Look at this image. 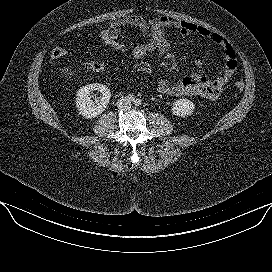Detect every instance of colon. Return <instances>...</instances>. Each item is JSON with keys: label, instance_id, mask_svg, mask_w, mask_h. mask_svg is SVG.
Instances as JSON below:
<instances>
[{"label": "colon", "instance_id": "obj_1", "mask_svg": "<svg viewBox=\"0 0 272 272\" xmlns=\"http://www.w3.org/2000/svg\"><path fill=\"white\" fill-rule=\"evenodd\" d=\"M99 40L106 46L111 47L117 51L130 53L133 55L137 51L138 45H131L127 42L122 35L110 32L106 29L102 30L99 35ZM67 51L62 47H55L51 51L52 59H60L66 55ZM87 71L92 73H101L105 69V63L101 60H91L85 64ZM235 87L237 90L242 91L244 89V83L242 81H236Z\"/></svg>", "mask_w": 272, "mask_h": 272}]
</instances>
